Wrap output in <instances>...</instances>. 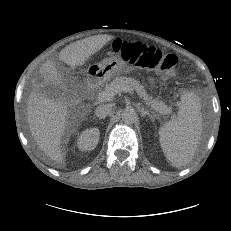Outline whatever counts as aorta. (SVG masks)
Masks as SVG:
<instances>
[{
    "mask_svg": "<svg viewBox=\"0 0 231 231\" xmlns=\"http://www.w3.org/2000/svg\"><path fill=\"white\" fill-rule=\"evenodd\" d=\"M137 114L135 112V110L131 107H127L124 109L123 113H122V120L125 123H133L136 120Z\"/></svg>",
    "mask_w": 231,
    "mask_h": 231,
    "instance_id": "aorta-1",
    "label": "aorta"
}]
</instances>
